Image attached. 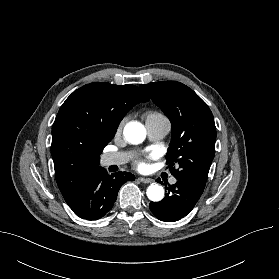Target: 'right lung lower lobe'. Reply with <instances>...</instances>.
Returning a JSON list of instances; mask_svg holds the SVG:
<instances>
[{
    "mask_svg": "<svg viewBox=\"0 0 279 279\" xmlns=\"http://www.w3.org/2000/svg\"><path fill=\"white\" fill-rule=\"evenodd\" d=\"M134 175L117 172L111 176L102 167L89 173L75 197L67 203L80 218L97 220L113 206L122 184L133 181Z\"/></svg>",
    "mask_w": 279,
    "mask_h": 279,
    "instance_id": "right-lung-lower-lobe-1",
    "label": "right lung lower lobe"
}]
</instances>
